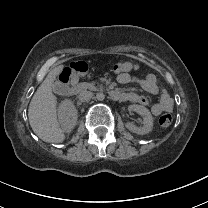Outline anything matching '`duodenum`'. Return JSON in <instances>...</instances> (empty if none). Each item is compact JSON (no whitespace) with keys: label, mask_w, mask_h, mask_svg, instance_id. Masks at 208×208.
Instances as JSON below:
<instances>
[{"label":"duodenum","mask_w":208,"mask_h":208,"mask_svg":"<svg viewBox=\"0 0 208 208\" xmlns=\"http://www.w3.org/2000/svg\"><path fill=\"white\" fill-rule=\"evenodd\" d=\"M85 89V85L84 84H77V85H74L71 89V94L72 95H77L79 94L80 92H82L83 90ZM110 95L111 97L114 99V100H117V101H123V100H127V95L123 92H120V91H117V90H112L110 92Z\"/></svg>","instance_id":"410a0bca"}]
</instances>
